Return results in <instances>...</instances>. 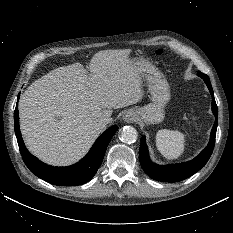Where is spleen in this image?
<instances>
[{"mask_svg":"<svg viewBox=\"0 0 233 233\" xmlns=\"http://www.w3.org/2000/svg\"><path fill=\"white\" fill-rule=\"evenodd\" d=\"M156 146L165 158L177 159L184 152L185 135L179 131L159 130L156 134Z\"/></svg>","mask_w":233,"mask_h":233,"instance_id":"3e777b00","label":"spleen"}]
</instances>
